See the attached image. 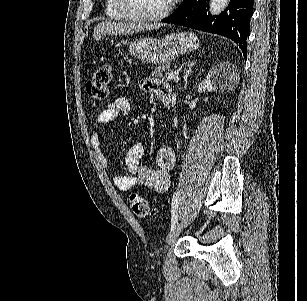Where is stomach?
Wrapping results in <instances>:
<instances>
[{
	"mask_svg": "<svg viewBox=\"0 0 307 301\" xmlns=\"http://www.w3.org/2000/svg\"><path fill=\"white\" fill-rule=\"evenodd\" d=\"M199 42L193 32H170L163 38L141 36L128 44V52L141 62L150 64H169L171 60L191 52Z\"/></svg>",
	"mask_w": 307,
	"mask_h": 301,
	"instance_id": "stomach-1",
	"label": "stomach"
}]
</instances>
